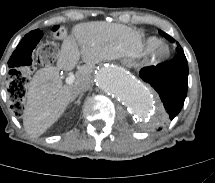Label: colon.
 I'll list each match as a JSON object with an SVG mask.
<instances>
[{
    "mask_svg": "<svg viewBox=\"0 0 215 183\" xmlns=\"http://www.w3.org/2000/svg\"><path fill=\"white\" fill-rule=\"evenodd\" d=\"M66 34V27L56 24L53 28H43L31 33L26 42L19 46V53L13 59L8 79V90L14 111L22 110L28 85V79L24 73L29 65L49 66L56 58L61 45L60 39L65 38Z\"/></svg>",
    "mask_w": 215,
    "mask_h": 183,
    "instance_id": "colon-1",
    "label": "colon"
}]
</instances>
